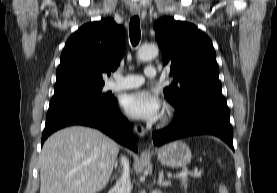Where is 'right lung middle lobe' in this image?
Wrapping results in <instances>:
<instances>
[{"mask_svg": "<svg viewBox=\"0 0 277 193\" xmlns=\"http://www.w3.org/2000/svg\"><path fill=\"white\" fill-rule=\"evenodd\" d=\"M102 87L103 85L97 86V87H91V88L78 89V90L70 91L68 93L92 96L102 100L112 99L113 96L111 94L109 93L102 94Z\"/></svg>", "mask_w": 277, "mask_h": 193, "instance_id": "dd1d6c3e", "label": "right lung middle lobe"}]
</instances>
